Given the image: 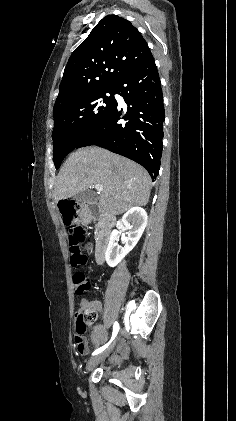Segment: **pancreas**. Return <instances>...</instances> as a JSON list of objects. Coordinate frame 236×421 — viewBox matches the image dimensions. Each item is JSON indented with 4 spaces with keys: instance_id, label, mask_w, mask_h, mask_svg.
I'll return each instance as SVG.
<instances>
[{
    "instance_id": "cf45deb5",
    "label": "pancreas",
    "mask_w": 236,
    "mask_h": 421,
    "mask_svg": "<svg viewBox=\"0 0 236 421\" xmlns=\"http://www.w3.org/2000/svg\"><path fill=\"white\" fill-rule=\"evenodd\" d=\"M99 225H101V223H99ZM99 225H96V237L99 235Z\"/></svg>"
}]
</instances>
